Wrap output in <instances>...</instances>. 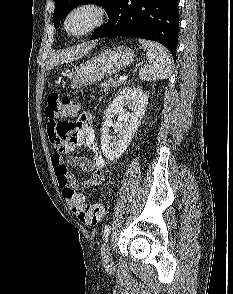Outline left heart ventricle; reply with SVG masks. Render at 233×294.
Returning <instances> with one entry per match:
<instances>
[{"mask_svg": "<svg viewBox=\"0 0 233 294\" xmlns=\"http://www.w3.org/2000/svg\"><path fill=\"white\" fill-rule=\"evenodd\" d=\"M94 16L90 11L75 13L68 22V29L72 33H79L88 28L93 22Z\"/></svg>", "mask_w": 233, "mask_h": 294, "instance_id": "1", "label": "left heart ventricle"}]
</instances>
